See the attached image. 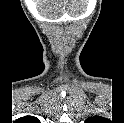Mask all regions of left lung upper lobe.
Segmentation results:
<instances>
[{"label":"left lung upper lobe","mask_w":124,"mask_h":123,"mask_svg":"<svg viewBox=\"0 0 124 123\" xmlns=\"http://www.w3.org/2000/svg\"><path fill=\"white\" fill-rule=\"evenodd\" d=\"M100 119L99 116H94V117H90L87 119V122H93L94 120Z\"/></svg>","instance_id":"obj_1"}]
</instances>
